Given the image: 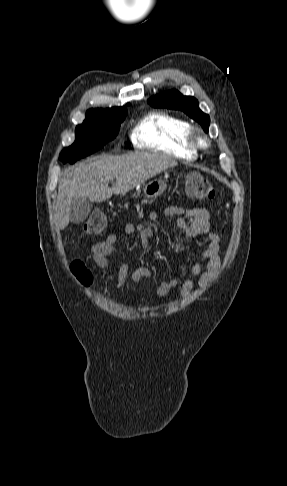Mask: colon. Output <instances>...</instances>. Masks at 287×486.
I'll return each instance as SVG.
<instances>
[{
  "instance_id": "5ec220e1",
  "label": "colon",
  "mask_w": 287,
  "mask_h": 486,
  "mask_svg": "<svg viewBox=\"0 0 287 486\" xmlns=\"http://www.w3.org/2000/svg\"><path fill=\"white\" fill-rule=\"evenodd\" d=\"M186 193L196 199L211 200L215 197L213 184L204 176L198 173H189L185 177ZM107 224L105 215L102 212H94L85 221L83 230L87 234L101 233ZM73 273L78 280L88 286L92 282V275L82 262L76 261L71 266Z\"/></svg>"
}]
</instances>
